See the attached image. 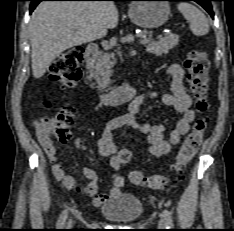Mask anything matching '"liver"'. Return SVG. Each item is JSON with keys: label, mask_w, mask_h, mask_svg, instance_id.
Listing matches in <instances>:
<instances>
[{"label": "liver", "mask_w": 234, "mask_h": 231, "mask_svg": "<svg viewBox=\"0 0 234 231\" xmlns=\"http://www.w3.org/2000/svg\"><path fill=\"white\" fill-rule=\"evenodd\" d=\"M117 24L118 11L112 2H41L29 23L34 78L42 77L65 50L97 40Z\"/></svg>", "instance_id": "liver-1"}]
</instances>
